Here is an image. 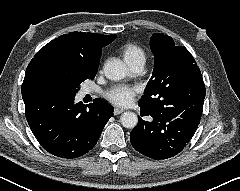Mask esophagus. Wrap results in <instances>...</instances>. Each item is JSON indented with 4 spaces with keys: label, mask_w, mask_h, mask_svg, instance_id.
Masks as SVG:
<instances>
[{
    "label": "esophagus",
    "mask_w": 240,
    "mask_h": 191,
    "mask_svg": "<svg viewBox=\"0 0 240 191\" xmlns=\"http://www.w3.org/2000/svg\"><path fill=\"white\" fill-rule=\"evenodd\" d=\"M123 111H124L123 108H115V109H114V115H119V114H121Z\"/></svg>",
    "instance_id": "esophagus-1"
}]
</instances>
